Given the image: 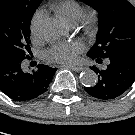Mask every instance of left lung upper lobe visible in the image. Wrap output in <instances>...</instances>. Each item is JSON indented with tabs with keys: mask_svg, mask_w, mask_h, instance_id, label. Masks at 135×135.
Here are the masks:
<instances>
[{
	"mask_svg": "<svg viewBox=\"0 0 135 135\" xmlns=\"http://www.w3.org/2000/svg\"><path fill=\"white\" fill-rule=\"evenodd\" d=\"M99 13V30L89 57L135 55V8L127 0H81Z\"/></svg>",
	"mask_w": 135,
	"mask_h": 135,
	"instance_id": "obj_1",
	"label": "left lung upper lobe"
}]
</instances>
